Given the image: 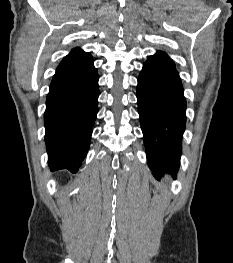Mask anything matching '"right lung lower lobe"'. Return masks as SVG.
I'll return each mask as SVG.
<instances>
[{
	"label": "right lung lower lobe",
	"instance_id": "obj_1",
	"mask_svg": "<svg viewBox=\"0 0 233 263\" xmlns=\"http://www.w3.org/2000/svg\"><path fill=\"white\" fill-rule=\"evenodd\" d=\"M98 78L93 64L82 71L53 76L44 113L51 171L76 173L86 156L97 114Z\"/></svg>",
	"mask_w": 233,
	"mask_h": 263
}]
</instances>
